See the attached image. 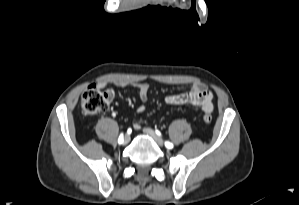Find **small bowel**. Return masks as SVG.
Listing matches in <instances>:
<instances>
[{
	"label": "small bowel",
	"mask_w": 299,
	"mask_h": 205,
	"mask_svg": "<svg viewBox=\"0 0 299 205\" xmlns=\"http://www.w3.org/2000/svg\"><path fill=\"white\" fill-rule=\"evenodd\" d=\"M132 85L137 89L138 97L143 103L137 108V112L142 114L146 110L144 103L148 100L150 89L149 84L145 82H138ZM96 86L98 88H103L105 83H98ZM119 86L123 87L125 84L121 83ZM212 98V93L204 85L200 83H194L187 92L167 95L165 97V102L169 105L175 106L194 105L200 107L205 113H211L214 109ZM133 127L134 129L138 130L140 128V124L135 123Z\"/></svg>",
	"instance_id": "1"
}]
</instances>
